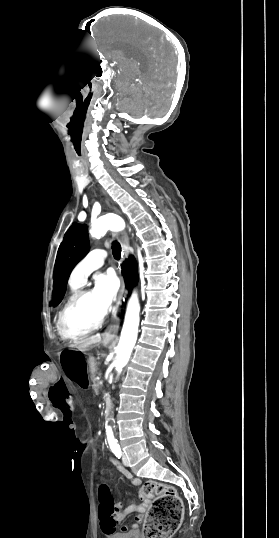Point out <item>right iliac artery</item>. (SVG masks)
<instances>
[{"label": "right iliac artery", "mask_w": 279, "mask_h": 538, "mask_svg": "<svg viewBox=\"0 0 279 538\" xmlns=\"http://www.w3.org/2000/svg\"><path fill=\"white\" fill-rule=\"evenodd\" d=\"M113 453L118 457L120 458L122 456V452L120 449H117V450H114Z\"/></svg>", "instance_id": "obj_1"}]
</instances>
